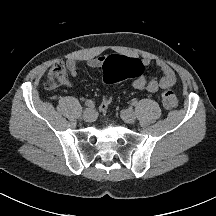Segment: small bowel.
Wrapping results in <instances>:
<instances>
[{
	"label": "small bowel",
	"instance_id": "1",
	"mask_svg": "<svg viewBox=\"0 0 216 216\" xmlns=\"http://www.w3.org/2000/svg\"><path fill=\"white\" fill-rule=\"evenodd\" d=\"M117 55H114L112 57H115ZM109 57L107 56H99L92 59H89L87 61V65L90 68L98 69L102 68L105 65V62L107 61ZM144 66L150 65L153 61L150 58H141L138 59ZM157 67L161 70L162 76L161 77H146L145 75H140L136 77L132 81V87L135 90H146L149 93H156L160 89H170L172 88L176 82L177 77L175 74V71L172 69V67L164 60L158 59L155 61ZM66 70L69 72V74L72 77H76L78 74V62L69 59L65 62ZM65 86L71 88L72 83L70 81L65 82Z\"/></svg>",
	"mask_w": 216,
	"mask_h": 216
}]
</instances>
